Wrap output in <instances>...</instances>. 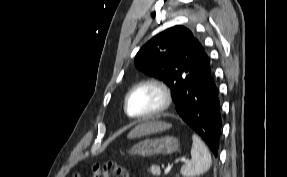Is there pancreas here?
Instances as JSON below:
<instances>
[{
  "instance_id": "pancreas-1",
  "label": "pancreas",
  "mask_w": 287,
  "mask_h": 177,
  "mask_svg": "<svg viewBox=\"0 0 287 177\" xmlns=\"http://www.w3.org/2000/svg\"><path fill=\"white\" fill-rule=\"evenodd\" d=\"M148 172L152 173L153 175H159L160 174V168H159V166H151V168L148 170Z\"/></svg>"
}]
</instances>
